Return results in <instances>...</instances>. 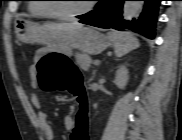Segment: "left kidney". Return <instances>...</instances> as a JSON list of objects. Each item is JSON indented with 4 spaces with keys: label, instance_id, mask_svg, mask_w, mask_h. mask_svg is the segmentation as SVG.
<instances>
[{
    "label": "left kidney",
    "instance_id": "5707ae66",
    "mask_svg": "<svg viewBox=\"0 0 182 140\" xmlns=\"http://www.w3.org/2000/svg\"><path fill=\"white\" fill-rule=\"evenodd\" d=\"M129 79L128 70L124 65L120 66L116 71L115 83L120 89H124Z\"/></svg>",
    "mask_w": 182,
    "mask_h": 140
}]
</instances>
